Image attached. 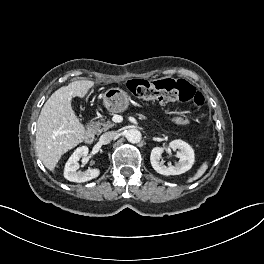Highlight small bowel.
I'll use <instances>...</instances> for the list:
<instances>
[{
	"mask_svg": "<svg viewBox=\"0 0 264 264\" xmlns=\"http://www.w3.org/2000/svg\"><path fill=\"white\" fill-rule=\"evenodd\" d=\"M174 122L177 124V125H186L188 123V120L184 117H176L174 119Z\"/></svg>",
	"mask_w": 264,
	"mask_h": 264,
	"instance_id": "obj_1",
	"label": "small bowel"
}]
</instances>
